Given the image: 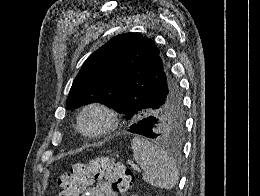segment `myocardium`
<instances>
[{"label": "myocardium", "mask_w": 260, "mask_h": 196, "mask_svg": "<svg viewBox=\"0 0 260 196\" xmlns=\"http://www.w3.org/2000/svg\"><path fill=\"white\" fill-rule=\"evenodd\" d=\"M94 109L99 110L105 114L106 123L104 124V126L102 128H100L99 130H97L95 132H87L84 129H82L81 120L88 111L94 110ZM117 124H118V115H117V112L112 107H110L104 103L93 102V103H89L86 106H84L82 108V110L80 111V113L78 115V121H77L76 128H77L78 133L80 135H82L85 139L90 140V141H97V140L104 138L108 134H110L117 127Z\"/></svg>", "instance_id": "1"}]
</instances>
